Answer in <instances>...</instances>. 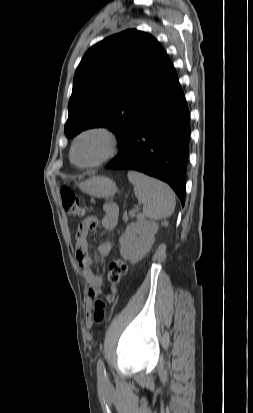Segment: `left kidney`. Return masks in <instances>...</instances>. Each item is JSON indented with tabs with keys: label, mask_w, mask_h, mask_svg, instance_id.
Here are the masks:
<instances>
[{
	"label": "left kidney",
	"mask_w": 253,
	"mask_h": 413,
	"mask_svg": "<svg viewBox=\"0 0 253 413\" xmlns=\"http://www.w3.org/2000/svg\"><path fill=\"white\" fill-rule=\"evenodd\" d=\"M158 226L150 221L139 219L129 224L120 237V254L124 260L135 264L151 249Z\"/></svg>",
	"instance_id": "1"
}]
</instances>
